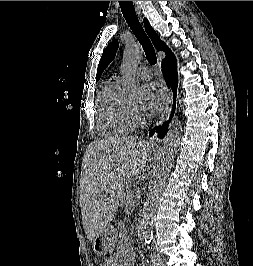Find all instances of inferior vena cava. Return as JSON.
<instances>
[{
  "label": "inferior vena cava",
  "instance_id": "602c4592",
  "mask_svg": "<svg viewBox=\"0 0 253 266\" xmlns=\"http://www.w3.org/2000/svg\"><path fill=\"white\" fill-rule=\"evenodd\" d=\"M153 256L158 261H161L162 260V256H161V254L157 250H154Z\"/></svg>",
  "mask_w": 253,
  "mask_h": 266
}]
</instances>
